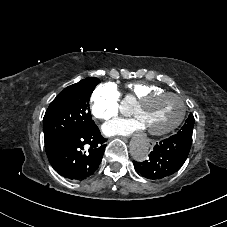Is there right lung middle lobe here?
I'll use <instances>...</instances> for the list:
<instances>
[{
	"instance_id": "obj_1",
	"label": "right lung middle lobe",
	"mask_w": 227,
	"mask_h": 227,
	"mask_svg": "<svg viewBox=\"0 0 227 227\" xmlns=\"http://www.w3.org/2000/svg\"><path fill=\"white\" fill-rule=\"evenodd\" d=\"M98 83V78H86L68 86L56 96L43 118L45 143L63 133L95 124L88 106Z\"/></svg>"
}]
</instances>
